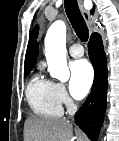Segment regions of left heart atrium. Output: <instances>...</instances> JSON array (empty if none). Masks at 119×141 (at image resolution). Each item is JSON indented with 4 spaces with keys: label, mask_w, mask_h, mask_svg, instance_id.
Wrapping results in <instances>:
<instances>
[{
    "label": "left heart atrium",
    "mask_w": 119,
    "mask_h": 141,
    "mask_svg": "<svg viewBox=\"0 0 119 141\" xmlns=\"http://www.w3.org/2000/svg\"><path fill=\"white\" fill-rule=\"evenodd\" d=\"M69 89L76 99L83 98L91 88L93 70L86 60H78L70 65Z\"/></svg>",
    "instance_id": "left-heart-atrium-1"
}]
</instances>
